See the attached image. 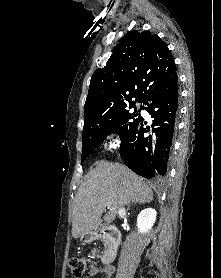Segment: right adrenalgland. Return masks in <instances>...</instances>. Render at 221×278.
Here are the masks:
<instances>
[{
  "label": "right adrenal gland",
  "mask_w": 221,
  "mask_h": 278,
  "mask_svg": "<svg viewBox=\"0 0 221 278\" xmlns=\"http://www.w3.org/2000/svg\"><path fill=\"white\" fill-rule=\"evenodd\" d=\"M130 208V204H128V206H127V209H129Z\"/></svg>",
  "instance_id": "obj_1"
}]
</instances>
